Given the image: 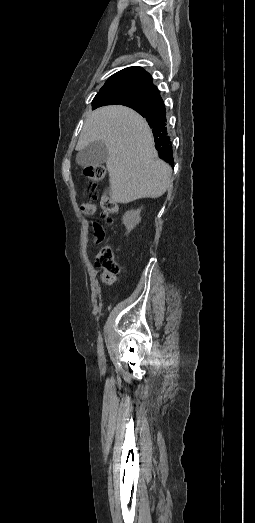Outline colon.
Segmentation results:
<instances>
[{
	"label": "colon",
	"instance_id": "colon-1",
	"mask_svg": "<svg viewBox=\"0 0 255 523\" xmlns=\"http://www.w3.org/2000/svg\"><path fill=\"white\" fill-rule=\"evenodd\" d=\"M84 174L91 181L89 200L81 205V212L86 216H92L96 212V204L94 202L96 196L94 194V187L96 183L104 180L106 176V168L103 165H95L87 167L84 170ZM100 205L103 211V217L110 222L112 216L116 214L118 207L115 201L108 196L103 194L100 198ZM95 265L102 272V280L106 284H111L115 281L118 273V266L114 259V253L109 245H104L98 251L95 258Z\"/></svg>",
	"mask_w": 255,
	"mask_h": 523
}]
</instances>
